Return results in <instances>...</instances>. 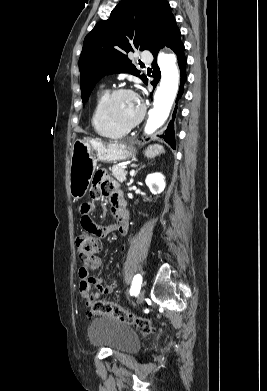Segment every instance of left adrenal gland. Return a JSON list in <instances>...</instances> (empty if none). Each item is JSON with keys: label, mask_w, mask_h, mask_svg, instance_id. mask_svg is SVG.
<instances>
[{"label": "left adrenal gland", "mask_w": 267, "mask_h": 391, "mask_svg": "<svg viewBox=\"0 0 267 391\" xmlns=\"http://www.w3.org/2000/svg\"><path fill=\"white\" fill-rule=\"evenodd\" d=\"M131 166H132V167H135V168L138 167V165H136V164H132ZM143 167H144V166H141L139 169H141V168H143ZM139 169H137L136 172H137ZM136 172L134 173V175L136 174Z\"/></svg>", "instance_id": "left-adrenal-gland-1"}]
</instances>
